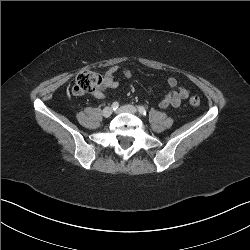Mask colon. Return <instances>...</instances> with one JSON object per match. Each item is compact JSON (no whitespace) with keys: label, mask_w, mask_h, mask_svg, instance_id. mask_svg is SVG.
<instances>
[{"label":"colon","mask_w":250,"mask_h":250,"mask_svg":"<svg viewBox=\"0 0 250 250\" xmlns=\"http://www.w3.org/2000/svg\"><path fill=\"white\" fill-rule=\"evenodd\" d=\"M101 83L102 79L98 73L90 70L82 71L77 74L72 91L76 95L92 93L101 85ZM190 104L195 107L199 106V97L192 96L190 98Z\"/></svg>","instance_id":"obj_1"}]
</instances>
